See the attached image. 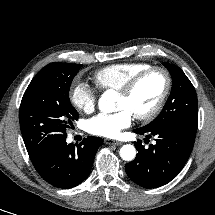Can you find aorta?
Returning a JSON list of instances; mask_svg holds the SVG:
<instances>
[{"instance_id":"aorta-1","label":"aorta","mask_w":215,"mask_h":215,"mask_svg":"<svg viewBox=\"0 0 215 215\" xmlns=\"http://www.w3.org/2000/svg\"><path fill=\"white\" fill-rule=\"evenodd\" d=\"M117 94L112 90H107L99 99V109L104 113H111L115 110V100ZM120 156L125 161H131L136 156V149L133 145L126 144L120 149Z\"/></svg>"}]
</instances>
